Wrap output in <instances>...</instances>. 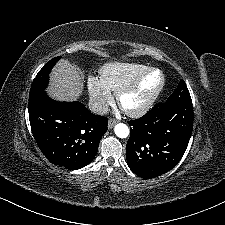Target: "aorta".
Listing matches in <instances>:
<instances>
[{
  "label": "aorta",
  "instance_id": "762f6f07",
  "mask_svg": "<svg viewBox=\"0 0 225 225\" xmlns=\"http://www.w3.org/2000/svg\"><path fill=\"white\" fill-rule=\"evenodd\" d=\"M114 132L119 138H126L129 136L130 133L128 126L124 123L116 124L114 127Z\"/></svg>",
  "mask_w": 225,
  "mask_h": 225
}]
</instances>
